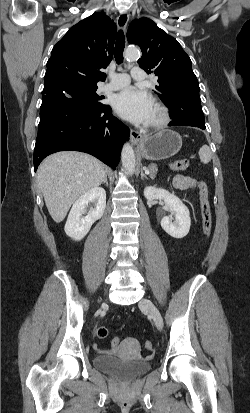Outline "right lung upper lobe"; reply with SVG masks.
Returning <instances> with one entry per match:
<instances>
[{
	"label": "right lung upper lobe",
	"mask_w": 250,
	"mask_h": 413,
	"mask_svg": "<svg viewBox=\"0 0 250 413\" xmlns=\"http://www.w3.org/2000/svg\"><path fill=\"white\" fill-rule=\"evenodd\" d=\"M116 31V24L103 13L71 27L52 49L42 94L69 86L97 87L98 81H105L100 69L112 59Z\"/></svg>",
	"instance_id": "cb5924a9"
}]
</instances>
